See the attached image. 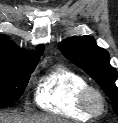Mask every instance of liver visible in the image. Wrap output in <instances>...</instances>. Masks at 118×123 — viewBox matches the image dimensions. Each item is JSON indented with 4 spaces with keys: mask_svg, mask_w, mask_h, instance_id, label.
<instances>
[{
    "mask_svg": "<svg viewBox=\"0 0 118 123\" xmlns=\"http://www.w3.org/2000/svg\"><path fill=\"white\" fill-rule=\"evenodd\" d=\"M0 123H69L60 117L48 114L21 115L18 113L0 112Z\"/></svg>",
    "mask_w": 118,
    "mask_h": 123,
    "instance_id": "obj_1",
    "label": "liver"
}]
</instances>
